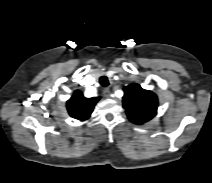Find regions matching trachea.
Segmentation results:
<instances>
[{
  "label": "trachea",
  "instance_id": "3493384b",
  "mask_svg": "<svg viewBox=\"0 0 212 183\" xmlns=\"http://www.w3.org/2000/svg\"><path fill=\"white\" fill-rule=\"evenodd\" d=\"M99 83L103 86V87H107L109 85V81L108 78L106 76H101L99 79Z\"/></svg>",
  "mask_w": 212,
  "mask_h": 183
}]
</instances>
